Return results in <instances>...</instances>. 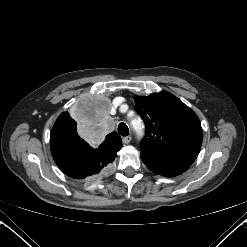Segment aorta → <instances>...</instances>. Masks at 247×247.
Wrapping results in <instances>:
<instances>
[{"label": "aorta", "mask_w": 247, "mask_h": 247, "mask_svg": "<svg viewBox=\"0 0 247 247\" xmlns=\"http://www.w3.org/2000/svg\"><path fill=\"white\" fill-rule=\"evenodd\" d=\"M142 124H140V127L136 130V132H137V134L139 135V136H141L142 135Z\"/></svg>", "instance_id": "1"}]
</instances>
